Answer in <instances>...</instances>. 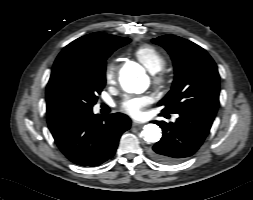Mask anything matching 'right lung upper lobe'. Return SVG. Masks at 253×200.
I'll use <instances>...</instances> for the list:
<instances>
[{
	"mask_svg": "<svg viewBox=\"0 0 253 200\" xmlns=\"http://www.w3.org/2000/svg\"><path fill=\"white\" fill-rule=\"evenodd\" d=\"M123 37H117L114 35H108L104 33L95 32L83 37L76 39L75 41L68 44L58 55L55 63L68 59H84V60H95L101 57L102 52L106 47L112 43L120 40ZM47 114L53 116L54 114L50 111L47 102Z\"/></svg>",
	"mask_w": 253,
	"mask_h": 200,
	"instance_id": "right-lung-upper-lobe-1",
	"label": "right lung upper lobe"
}]
</instances>
